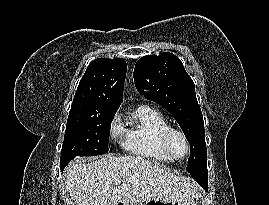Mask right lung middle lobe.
Listing matches in <instances>:
<instances>
[{
    "instance_id": "dd1d6c3e",
    "label": "right lung middle lobe",
    "mask_w": 269,
    "mask_h": 205,
    "mask_svg": "<svg viewBox=\"0 0 269 205\" xmlns=\"http://www.w3.org/2000/svg\"><path fill=\"white\" fill-rule=\"evenodd\" d=\"M115 113H98L70 110L61 150V163L77 156H94L106 153L111 122Z\"/></svg>"
}]
</instances>
